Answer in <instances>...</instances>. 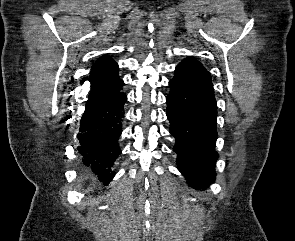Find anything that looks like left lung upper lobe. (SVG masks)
Wrapping results in <instances>:
<instances>
[{
  "mask_svg": "<svg viewBox=\"0 0 295 241\" xmlns=\"http://www.w3.org/2000/svg\"><path fill=\"white\" fill-rule=\"evenodd\" d=\"M175 74L184 78L199 91L214 96L210 73L199 61L193 58L183 60L176 66Z\"/></svg>",
  "mask_w": 295,
  "mask_h": 241,
  "instance_id": "obj_1",
  "label": "left lung upper lobe"
}]
</instances>
